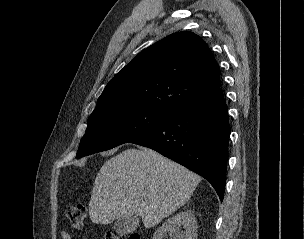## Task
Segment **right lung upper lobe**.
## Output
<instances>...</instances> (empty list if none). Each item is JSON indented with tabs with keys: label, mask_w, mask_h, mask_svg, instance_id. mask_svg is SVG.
Masks as SVG:
<instances>
[{
	"label": "right lung upper lobe",
	"mask_w": 304,
	"mask_h": 239,
	"mask_svg": "<svg viewBox=\"0 0 304 239\" xmlns=\"http://www.w3.org/2000/svg\"><path fill=\"white\" fill-rule=\"evenodd\" d=\"M220 87L217 61L192 32H177L140 52L105 87L91 116L146 107L169 114Z\"/></svg>",
	"instance_id": "1"
}]
</instances>
